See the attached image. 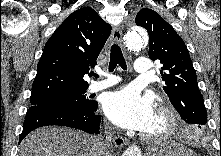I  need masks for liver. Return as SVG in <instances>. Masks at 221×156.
<instances>
[{
    "instance_id": "1",
    "label": "liver",
    "mask_w": 221,
    "mask_h": 156,
    "mask_svg": "<svg viewBox=\"0 0 221 156\" xmlns=\"http://www.w3.org/2000/svg\"><path fill=\"white\" fill-rule=\"evenodd\" d=\"M105 149L95 136L64 127H42L20 143L19 156H103Z\"/></svg>"
}]
</instances>
